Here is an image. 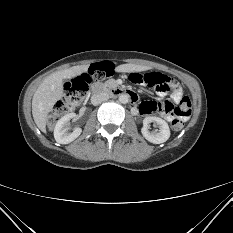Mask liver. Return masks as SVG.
<instances>
[{"label": "liver", "mask_w": 233, "mask_h": 233, "mask_svg": "<svg viewBox=\"0 0 233 233\" xmlns=\"http://www.w3.org/2000/svg\"><path fill=\"white\" fill-rule=\"evenodd\" d=\"M88 65L74 66L55 72L46 77L36 89L32 99V115L37 127L46 130L48 113L55 103L63 96V80L70 79L86 72ZM146 66L136 64H122L115 68L116 72H141L148 70Z\"/></svg>", "instance_id": "6515ba94"}]
</instances>
